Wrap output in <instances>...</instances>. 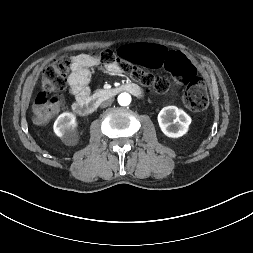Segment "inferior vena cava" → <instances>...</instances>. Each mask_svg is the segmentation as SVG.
I'll return each mask as SVG.
<instances>
[{"label": "inferior vena cava", "mask_w": 253, "mask_h": 253, "mask_svg": "<svg viewBox=\"0 0 253 253\" xmlns=\"http://www.w3.org/2000/svg\"><path fill=\"white\" fill-rule=\"evenodd\" d=\"M112 102H113V99H108V100L102 102L100 106H101L102 108H105V107L110 106V105L112 104Z\"/></svg>", "instance_id": "602c4592"}]
</instances>
